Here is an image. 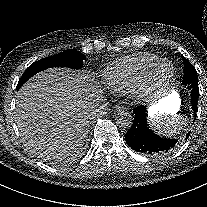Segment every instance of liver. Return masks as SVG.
Masks as SVG:
<instances>
[{
    "label": "liver",
    "instance_id": "6515ba94",
    "mask_svg": "<svg viewBox=\"0 0 207 207\" xmlns=\"http://www.w3.org/2000/svg\"><path fill=\"white\" fill-rule=\"evenodd\" d=\"M95 94L86 76L68 68L32 77L16 99L15 121L25 145L46 156L81 147L96 113Z\"/></svg>",
    "mask_w": 207,
    "mask_h": 207
}]
</instances>
